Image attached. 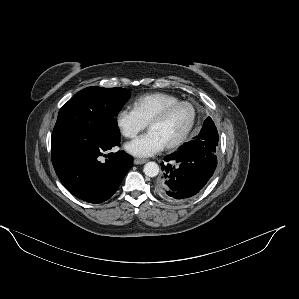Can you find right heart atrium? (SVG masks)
<instances>
[{
  "label": "right heart atrium",
  "instance_id": "right-heart-atrium-1",
  "mask_svg": "<svg viewBox=\"0 0 299 299\" xmlns=\"http://www.w3.org/2000/svg\"><path fill=\"white\" fill-rule=\"evenodd\" d=\"M115 125L119 133L128 139L136 137L146 127L135 111L127 107L121 108L116 113Z\"/></svg>",
  "mask_w": 299,
  "mask_h": 299
}]
</instances>
